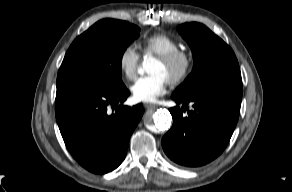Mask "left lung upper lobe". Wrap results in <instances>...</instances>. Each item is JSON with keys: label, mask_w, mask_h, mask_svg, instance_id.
<instances>
[{"label": "left lung upper lobe", "mask_w": 292, "mask_h": 192, "mask_svg": "<svg viewBox=\"0 0 292 192\" xmlns=\"http://www.w3.org/2000/svg\"><path fill=\"white\" fill-rule=\"evenodd\" d=\"M178 32L192 49L194 67L173 95L189 97L224 90L242 93L238 61L222 39L203 24L195 22L180 25Z\"/></svg>", "instance_id": "1"}]
</instances>
